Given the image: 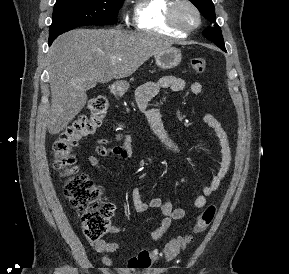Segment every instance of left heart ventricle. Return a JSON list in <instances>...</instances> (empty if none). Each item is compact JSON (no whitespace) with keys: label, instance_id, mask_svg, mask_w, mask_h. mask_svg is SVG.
Wrapping results in <instances>:
<instances>
[{"label":"left heart ventricle","instance_id":"b2bd125f","mask_svg":"<svg viewBox=\"0 0 289 274\" xmlns=\"http://www.w3.org/2000/svg\"><path fill=\"white\" fill-rule=\"evenodd\" d=\"M177 17L180 23L184 26H191L196 23L195 13L186 5H182L178 8Z\"/></svg>","mask_w":289,"mask_h":274}]
</instances>
